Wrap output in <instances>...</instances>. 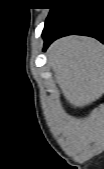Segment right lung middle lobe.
<instances>
[{
	"label": "right lung middle lobe",
	"instance_id": "1",
	"mask_svg": "<svg viewBox=\"0 0 104 169\" xmlns=\"http://www.w3.org/2000/svg\"><path fill=\"white\" fill-rule=\"evenodd\" d=\"M71 0H59L57 3H54L50 8V13L45 21V25L58 13V11L66 4L70 3Z\"/></svg>",
	"mask_w": 104,
	"mask_h": 169
}]
</instances>
